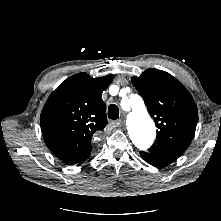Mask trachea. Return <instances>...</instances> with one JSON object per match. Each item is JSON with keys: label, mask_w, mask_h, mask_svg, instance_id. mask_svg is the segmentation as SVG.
I'll use <instances>...</instances> for the list:
<instances>
[{"label": "trachea", "mask_w": 221, "mask_h": 221, "mask_svg": "<svg viewBox=\"0 0 221 221\" xmlns=\"http://www.w3.org/2000/svg\"><path fill=\"white\" fill-rule=\"evenodd\" d=\"M108 117L112 120L119 118V108L115 104H111L108 108Z\"/></svg>", "instance_id": "1"}]
</instances>
